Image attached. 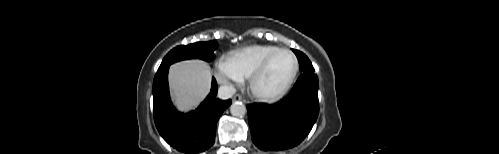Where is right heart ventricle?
Listing matches in <instances>:
<instances>
[{"label": "right heart ventricle", "instance_id": "obj_1", "mask_svg": "<svg viewBox=\"0 0 499 154\" xmlns=\"http://www.w3.org/2000/svg\"><path fill=\"white\" fill-rule=\"evenodd\" d=\"M276 49L278 47L272 45H251L231 52L228 58L243 78H249L260 63Z\"/></svg>", "mask_w": 499, "mask_h": 154}]
</instances>
